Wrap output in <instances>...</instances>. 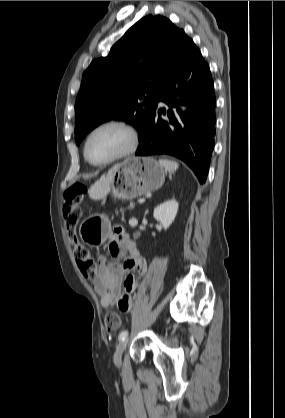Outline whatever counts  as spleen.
Instances as JSON below:
<instances>
[{"instance_id": "obj_1", "label": "spleen", "mask_w": 285, "mask_h": 418, "mask_svg": "<svg viewBox=\"0 0 285 418\" xmlns=\"http://www.w3.org/2000/svg\"><path fill=\"white\" fill-rule=\"evenodd\" d=\"M158 164L165 169L167 172H174L178 169L179 165L177 162L166 160V159H159Z\"/></svg>"}]
</instances>
